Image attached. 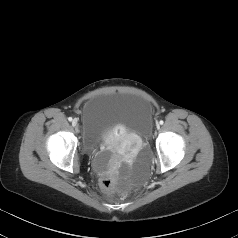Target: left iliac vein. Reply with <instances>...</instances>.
Segmentation results:
<instances>
[{"label": "left iliac vein", "instance_id": "left-iliac-vein-1", "mask_svg": "<svg viewBox=\"0 0 238 238\" xmlns=\"http://www.w3.org/2000/svg\"><path fill=\"white\" fill-rule=\"evenodd\" d=\"M156 127H157V129H159V128H160V125H159V124H157V125H156Z\"/></svg>", "mask_w": 238, "mask_h": 238}]
</instances>
